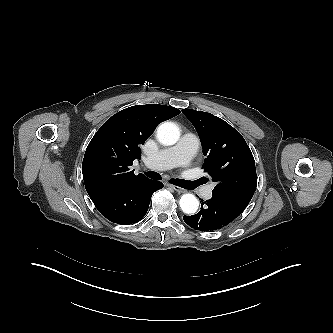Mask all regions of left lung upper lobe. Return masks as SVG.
I'll return each mask as SVG.
<instances>
[{
    "mask_svg": "<svg viewBox=\"0 0 333 333\" xmlns=\"http://www.w3.org/2000/svg\"><path fill=\"white\" fill-rule=\"evenodd\" d=\"M196 128L203 154V168L216 182L213 195L244 211L257 187L255 161L242 135L210 113L183 109Z\"/></svg>",
    "mask_w": 333,
    "mask_h": 333,
    "instance_id": "5c2ea615",
    "label": "left lung upper lobe"
}]
</instances>
